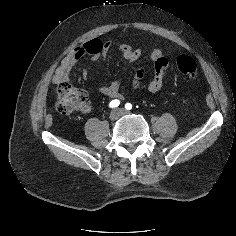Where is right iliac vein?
Returning a JSON list of instances; mask_svg holds the SVG:
<instances>
[{"label":"right iliac vein","instance_id":"obj_1","mask_svg":"<svg viewBox=\"0 0 236 236\" xmlns=\"http://www.w3.org/2000/svg\"><path fill=\"white\" fill-rule=\"evenodd\" d=\"M120 116V111L119 110H113L110 115H109V118L111 121H115L119 118Z\"/></svg>","mask_w":236,"mask_h":236}]
</instances>
